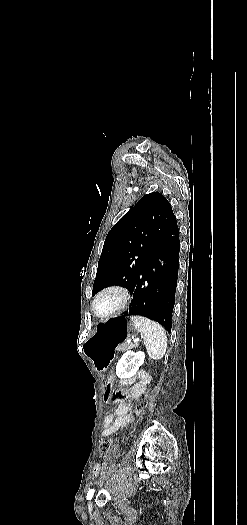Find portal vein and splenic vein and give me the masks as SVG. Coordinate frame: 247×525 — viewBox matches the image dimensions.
Wrapping results in <instances>:
<instances>
[{
	"label": "portal vein and splenic vein",
	"instance_id": "18ae733b",
	"mask_svg": "<svg viewBox=\"0 0 247 525\" xmlns=\"http://www.w3.org/2000/svg\"><path fill=\"white\" fill-rule=\"evenodd\" d=\"M139 338H134L133 343H138Z\"/></svg>",
	"mask_w": 247,
	"mask_h": 525
}]
</instances>
